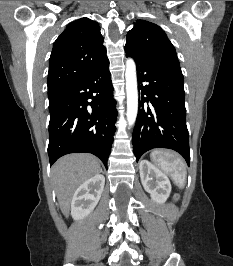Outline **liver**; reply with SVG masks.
<instances>
[{"instance_id":"1","label":"liver","mask_w":233,"mask_h":266,"mask_svg":"<svg viewBox=\"0 0 233 266\" xmlns=\"http://www.w3.org/2000/svg\"><path fill=\"white\" fill-rule=\"evenodd\" d=\"M100 172L99 160L90 154H70L56 161L51 169V176L60 209L66 217L76 189Z\"/></svg>"}]
</instances>
